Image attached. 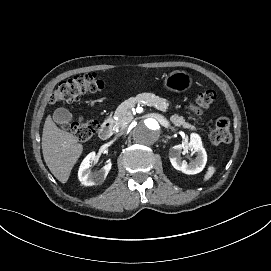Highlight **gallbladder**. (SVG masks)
Wrapping results in <instances>:
<instances>
[{
	"label": "gallbladder",
	"instance_id": "obj_1",
	"mask_svg": "<svg viewBox=\"0 0 271 271\" xmlns=\"http://www.w3.org/2000/svg\"><path fill=\"white\" fill-rule=\"evenodd\" d=\"M70 118L71 114L63 108H59L54 111L53 120L57 123H66Z\"/></svg>",
	"mask_w": 271,
	"mask_h": 271
}]
</instances>
